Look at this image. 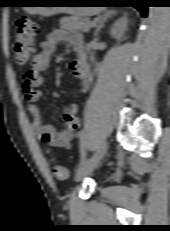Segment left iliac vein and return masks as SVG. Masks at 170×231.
Segmentation results:
<instances>
[{"mask_svg": "<svg viewBox=\"0 0 170 231\" xmlns=\"http://www.w3.org/2000/svg\"><path fill=\"white\" fill-rule=\"evenodd\" d=\"M108 144L103 142L97 152L84 164L80 165L76 170L75 180L77 182L83 180L90 175L99 165L107 151Z\"/></svg>", "mask_w": 170, "mask_h": 231, "instance_id": "left-iliac-vein-1", "label": "left iliac vein"}]
</instances>
